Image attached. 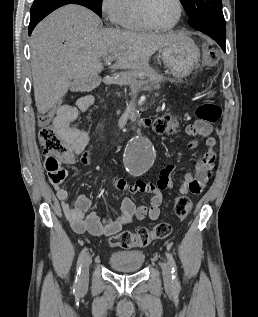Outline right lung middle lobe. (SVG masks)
Returning <instances> with one entry per match:
<instances>
[{"label": "right lung middle lobe", "instance_id": "dd1d6c3e", "mask_svg": "<svg viewBox=\"0 0 258 317\" xmlns=\"http://www.w3.org/2000/svg\"><path fill=\"white\" fill-rule=\"evenodd\" d=\"M95 9V13L101 17L102 0H89Z\"/></svg>", "mask_w": 258, "mask_h": 317}]
</instances>
